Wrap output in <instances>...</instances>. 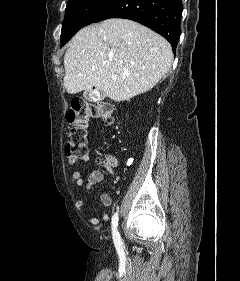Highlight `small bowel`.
Wrapping results in <instances>:
<instances>
[{
	"instance_id": "obj_1",
	"label": "small bowel",
	"mask_w": 240,
	"mask_h": 281,
	"mask_svg": "<svg viewBox=\"0 0 240 281\" xmlns=\"http://www.w3.org/2000/svg\"><path fill=\"white\" fill-rule=\"evenodd\" d=\"M85 162H89L91 160V157L89 155L85 156L83 158ZM116 159L113 156L106 157L102 162V167L105 169L108 173H110L114 179H117V173L115 171L116 167ZM104 175L101 169H93L88 174L86 180L83 178V175L81 172L76 171L71 175V181L78 187L85 186L86 189L90 190L92 189L96 184H99L103 182ZM111 190H113V185H111ZM101 203L105 207H111L112 206V197L110 191L104 192L100 196ZM76 209L78 211H83L85 208V202L82 200H78L75 204ZM103 220L107 221L109 219V216L107 214L102 215ZM87 222L92 225H97L99 223V219L95 216H88L86 218Z\"/></svg>"
}]
</instances>
